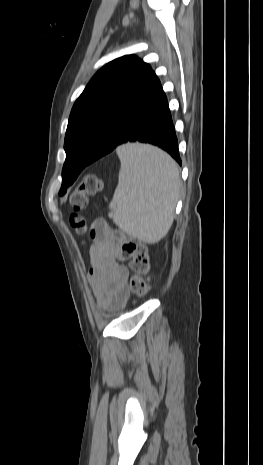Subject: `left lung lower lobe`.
Returning a JSON list of instances; mask_svg holds the SVG:
<instances>
[{
  "label": "left lung lower lobe",
  "mask_w": 263,
  "mask_h": 465,
  "mask_svg": "<svg viewBox=\"0 0 263 465\" xmlns=\"http://www.w3.org/2000/svg\"><path fill=\"white\" fill-rule=\"evenodd\" d=\"M127 142L156 145L167 151L181 165L167 98L152 70L137 95L115 114L91 157L84 163L74 157L66 158L62 176H69L68 183L71 184L77 175L74 168L80 164L86 167Z\"/></svg>",
  "instance_id": "obj_1"
}]
</instances>
